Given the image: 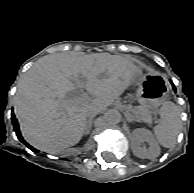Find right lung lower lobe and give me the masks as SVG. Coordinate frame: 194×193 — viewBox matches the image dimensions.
<instances>
[{
    "label": "right lung lower lobe",
    "instance_id": "obj_1",
    "mask_svg": "<svg viewBox=\"0 0 194 193\" xmlns=\"http://www.w3.org/2000/svg\"><path fill=\"white\" fill-rule=\"evenodd\" d=\"M11 119H12V122H13L14 130H15L17 136H18V139H19L22 143H24L29 149H31L32 151L38 152V150H36L35 148H33L32 146H30L29 144H27V143L25 142V140L22 138V136H21V134H20L18 122H17V119H16L15 116H14V112H13V111H12V117H11Z\"/></svg>",
    "mask_w": 194,
    "mask_h": 193
}]
</instances>
